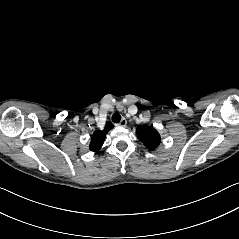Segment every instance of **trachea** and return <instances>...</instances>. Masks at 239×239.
<instances>
[{
    "instance_id": "1",
    "label": "trachea",
    "mask_w": 239,
    "mask_h": 239,
    "mask_svg": "<svg viewBox=\"0 0 239 239\" xmlns=\"http://www.w3.org/2000/svg\"><path fill=\"white\" fill-rule=\"evenodd\" d=\"M121 121V115L119 113H114L112 115V122L119 123Z\"/></svg>"
}]
</instances>
